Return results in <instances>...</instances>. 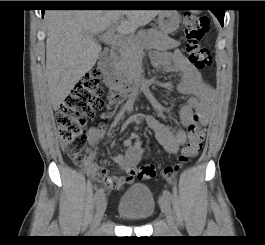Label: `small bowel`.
<instances>
[{
	"instance_id": "1",
	"label": "small bowel",
	"mask_w": 265,
	"mask_h": 245,
	"mask_svg": "<svg viewBox=\"0 0 265 245\" xmlns=\"http://www.w3.org/2000/svg\"><path fill=\"white\" fill-rule=\"evenodd\" d=\"M151 63L154 68L162 73L175 72L180 75V80L176 89L180 94L187 95L185 103L179 111L180 126L175 130L164 124L157 116L149 114L146 116L148 126L155 132L156 137L165 150L171 154H176L185 144L190 127L195 123L197 111L208 107L214 89L201 76L200 71L191 65L177 49L162 54L152 53ZM115 105L120 102L118 96H113ZM134 105V99L126 101L123 111L118 114L121 119L126 112H130ZM158 108V104L154 102ZM139 118L138 115L129 117L122 125L124 130L130 123ZM103 135V130L92 128L89 131L87 156L83 161L85 174L98 183L104 184L108 190H119L123 185L131 183L135 178L136 164L143 155L144 149L141 142L135 138H126L123 142L126 152L124 155L117 154L113 161L117 163L126 174L124 176H112L108 171L95 163L96 145Z\"/></svg>"
}]
</instances>
